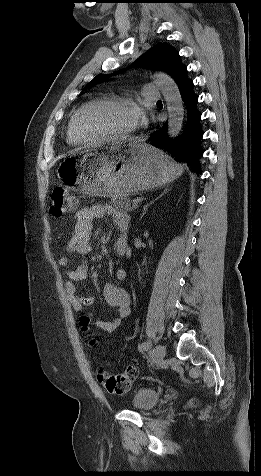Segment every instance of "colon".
I'll list each match as a JSON object with an SVG mask.
<instances>
[{"instance_id": "obj_1", "label": "colon", "mask_w": 261, "mask_h": 476, "mask_svg": "<svg viewBox=\"0 0 261 476\" xmlns=\"http://www.w3.org/2000/svg\"><path fill=\"white\" fill-rule=\"evenodd\" d=\"M51 214L55 217L64 216L75 209V198L69 193L68 188L63 185L54 187L51 193ZM83 329H87L88 319L83 316L81 318ZM138 375V365L134 362L127 365L125 370L120 374H112L103 368L97 372L99 383L111 394H123L129 391L132 383Z\"/></svg>"}]
</instances>
